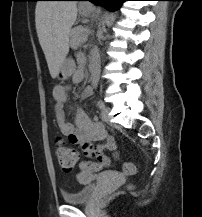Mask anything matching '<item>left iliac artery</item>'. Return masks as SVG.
Masks as SVG:
<instances>
[{
    "instance_id": "1",
    "label": "left iliac artery",
    "mask_w": 202,
    "mask_h": 217,
    "mask_svg": "<svg viewBox=\"0 0 202 217\" xmlns=\"http://www.w3.org/2000/svg\"><path fill=\"white\" fill-rule=\"evenodd\" d=\"M97 106H98L100 109H104V108H105L104 102H103L102 100H98V101H97Z\"/></svg>"
}]
</instances>
